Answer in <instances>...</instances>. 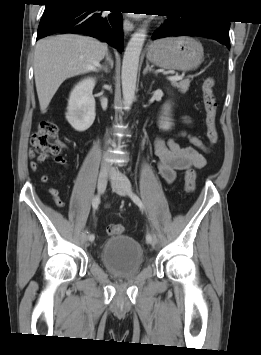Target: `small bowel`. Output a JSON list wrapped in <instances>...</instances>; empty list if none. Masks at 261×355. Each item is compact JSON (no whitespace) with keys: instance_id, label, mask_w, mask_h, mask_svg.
<instances>
[{"instance_id":"c3829d8e","label":"small bowel","mask_w":261,"mask_h":355,"mask_svg":"<svg viewBox=\"0 0 261 355\" xmlns=\"http://www.w3.org/2000/svg\"><path fill=\"white\" fill-rule=\"evenodd\" d=\"M183 122L186 125L190 124L188 117H183ZM179 137L188 139L193 147L181 146L177 141V138ZM199 150L203 152L207 151L205 145L197 136L191 135L185 131L180 132L175 138H157L154 143V151L158 159L157 168L159 174L167 183L171 184L176 181L178 171H182L190 167L197 169L204 168L206 166V159ZM29 156L32 158L30 168L34 172L39 169L41 163L46 159L40 157L35 158L32 151L29 153ZM54 160L62 166L67 165V161L64 157L57 156ZM41 181L43 183H47L49 181V176L43 175L41 177ZM50 193L53 196H56L57 190L51 188Z\"/></svg>"}]
</instances>
